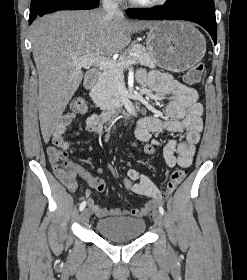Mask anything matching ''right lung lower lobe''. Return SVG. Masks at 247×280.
Here are the masks:
<instances>
[{
  "label": "right lung lower lobe",
  "instance_id": "1",
  "mask_svg": "<svg viewBox=\"0 0 247 280\" xmlns=\"http://www.w3.org/2000/svg\"><path fill=\"white\" fill-rule=\"evenodd\" d=\"M99 5V0H52L45 4L35 14L29 16L31 23L37 16H42L52 11L63 9H88Z\"/></svg>",
  "mask_w": 247,
  "mask_h": 280
}]
</instances>
